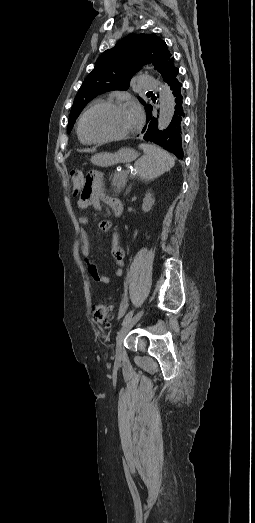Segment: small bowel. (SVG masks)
Masks as SVG:
<instances>
[{"label":"small bowel","instance_id":"obj_1","mask_svg":"<svg viewBox=\"0 0 255 523\" xmlns=\"http://www.w3.org/2000/svg\"><path fill=\"white\" fill-rule=\"evenodd\" d=\"M94 176H90V181L94 182ZM104 200H106L109 203V200L111 198L104 197ZM89 205L94 206L97 208L100 205V197L96 195L92 189V186L90 188V191L87 195L82 196L80 199L77 200V207L79 209H86ZM80 223V250L81 254L88 258L90 254V245H89V235L86 229V225L88 224V218L86 216H80L79 218ZM99 229L102 232H108L112 228V223L109 220H102L99 222ZM111 254L113 258L115 259V263L117 266L116 269V276L120 277L123 275V265H124V258H125V251L122 248V246L119 244L118 238L113 236L112 239V247H111ZM87 271L91 279L100 284L107 285L110 283V278L106 275H103L99 272L97 266L92 263L88 262L87 265Z\"/></svg>","mask_w":255,"mask_h":523}]
</instances>
